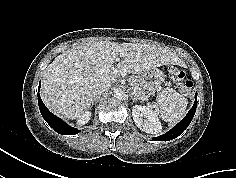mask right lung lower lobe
Returning a JSON list of instances; mask_svg holds the SVG:
<instances>
[{
  "label": "right lung lower lobe",
  "instance_id": "obj_1",
  "mask_svg": "<svg viewBox=\"0 0 236 178\" xmlns=\"http://www.w3.org/2000/svg\"><path fill=\"white\" fill-rule=\"evenodd\" d=\"M38 104L43 118L49 124V126L52 127L57 133L63 135H74L80 132V130L70 127L62 119L52 114L42 102L39 92H38Z\"/></svg>",
  "mask_w": 236,
  "mask_h": 178
}]
</instances>
